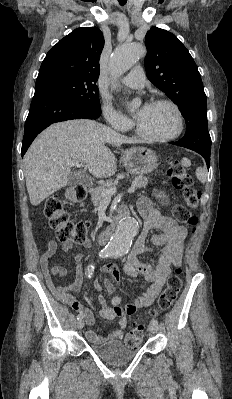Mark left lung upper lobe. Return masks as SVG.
Wrapping results in <instances>:
<instances>
[{
  "instance_id": "5c2ea615",
  "label": "left lung upper lobe",
  "mask_w": 232,
  "mask_h": 399,
  "mask_svg": "<svg viewBox=\"0 0 232 399\" xmlns=\"http://www.w3.org/2000/svg\"><path fill=\"white\" fill-rule=\"evenodd\" d=\"M145 69L148 79L180 109L187 129L180 145L211 151L207 127V98L197 66L179 39L152 27L146 34Z\"/></svg>"
}]
</instances>
